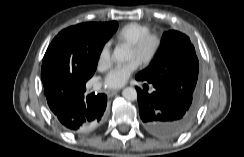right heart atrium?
Instances as JSON below:
<instances>
[{
	"mask_svg": "<svg viewBox=\"0 0 244 157\" xmlns=\"http://www.w3.org/2000/svg\"><path fill=\"white\" fill-rule=\"evenodd\" d=\"M111 62V44L110 42H105L98 53L97 69L104 71L111 65Z\"/></svg>",
	"mask_w": 244,
	"mask_h": 157,
	"instance_id": "1",
	"label": "right heart atrium"
}]
</instances>
